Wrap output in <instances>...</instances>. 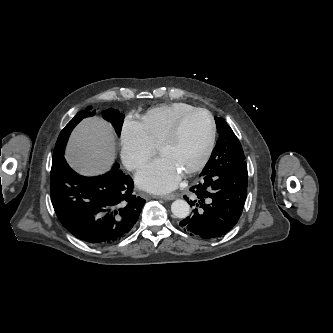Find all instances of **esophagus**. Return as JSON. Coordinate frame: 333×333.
Instances as JSON below:
<instances>
[{"label": "esophagus", "instance_id": "1", "mask_svg": "<svg viewBox=\"0 0 333 333\" xmlns=\"http://www.w3.org/2000/svg\"><path fill=\"white\" fill-rule=\"evenodd\" d=\"M142 196L144 198H155V196H150V195H146V194H143ZM175 197H176V195H174V194L160 196V198L163 200H173V199H175Z\"/></svg>", "mask_w": 333, "mask_h": 333}]
</instances>
